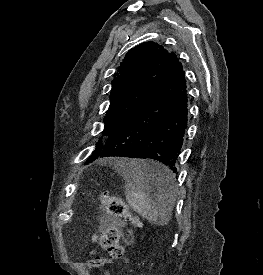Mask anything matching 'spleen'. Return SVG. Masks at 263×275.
Masks as SVG:
<instances>
[{
    "label": "spleen",
    "mask_w": 263,
    "mask_h": 275,
    "mask_svg": "<svg viewBox=\"0 0 263 275\" xmlns=\"http://www.w3.org/2000/svg\"><path fill=\"white\" fill-rule=\"evenodd\" d=\"M118 171L127 181L126 199L130 207L150 223L158 226L166 225L170 220V210L174 204L175 176L165 166L144 160L125 159L118 163ZM153 169L165 173L170 181L162 185L156 199L149 196L148 184L150 178L145 170Z\"/></svg>",
    "instance_id": "1"
}]
</instances>
